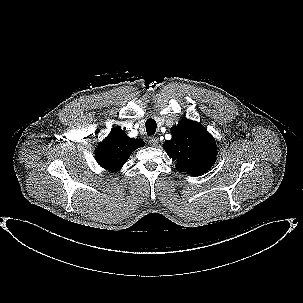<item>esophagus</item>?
I'll return each instance as SVG.
<instances>
[{
	"label": "esophagus",
	"instance_id": "esophagus-1",
	"mask_svg": "<svg viewBox=\"0 0 303 303\" xmlns=\"http://www.w3.org/2000/svg\"><path fill=\"white\" fill-rule=\"evenodd\" d=\"M149 144L151 145V146H157L158 145V143H159V139L157 138V137H150L149 138Z\"/></svg>",
	"mask_w": 303,
	"mask_h": 303
}]
</instances>
